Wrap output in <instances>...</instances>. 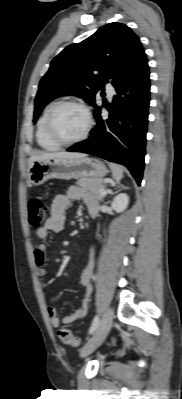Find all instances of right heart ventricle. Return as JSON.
Listing matches in <instances>:
<instances>
[{
	"label": "right heart ventricle",
	"mask_w": 182,
	"mask_h": 399,
	"mask_svg": "<svg viewBox=\"0 0 182 399\" xmlns=\"http://www.w3.org/2000/svg\"><path fill=\"white\" fill-rule=\"evenodd\" d=\"M55 102H52L46 106L44 109L38 124H37V129H36V140L38 145L43 148L44 150L48 151H53L56 150L60 147L59 144L54 142L48 135L47 133V128H46V123H47V117L48 114L51 110V108L55 105Z\"/></svg>",
	"instance_id": "obj_1"
}]
</instances>
